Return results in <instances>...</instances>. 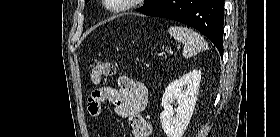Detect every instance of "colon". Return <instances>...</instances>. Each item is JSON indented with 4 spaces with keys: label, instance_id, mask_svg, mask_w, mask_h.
<instances>
[{
    "label": "colon",
    "instance_id": "1",
    "mask_svg": "<svg viewBox=\"0 0 280 137\" xmlns=\"http://www.w3.org/2000/svg\"><path fill=\"white\" fill-rule=\"evenodd\" d=\"M116 71V67L111 62H102L97 64L91 72V82L94 85L101 84L105 79L112 76Z\"/></svg>",
    "mask_w": 280,
    "mask_h": 137
}]
</instances>
